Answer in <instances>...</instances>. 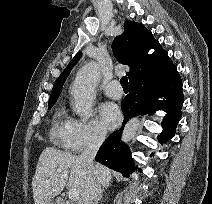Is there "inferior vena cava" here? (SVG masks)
I'll use <instances>...</instances> for the list:
<instances>
[{"label":"inferior vena cava","mask_w":212,"mask_h":204,"mask_svg":"<svg viewBox=\"0 0 212 204\" xmlns=\"http://www.w3.org/2000/svg\"><path fill=\"white\" fill-rule=\"evenodd\" d=\"M105 137L106 133L104 131H96L92 135L88 146L80 155V158L88 167V177L83 195V204H98L101 193V185L97 180L93 161L100 146L104 142Z\"/></svg>","instance_id":"obj_1"}]
</instances>
